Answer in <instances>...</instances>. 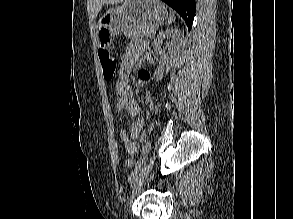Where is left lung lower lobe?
Returning <instances> with one entry per match:
<instances>
[{
    "label": "left lung lower lobe",
    "mask_w": 293,
    "mask_h": 219,
    "mask_svg": "<svg viewBox=\"0 0 293 219\" xmlns=\"http://www.w3.org/2000/svg\"><path fill=\"white\" fill-rule=\"evenodd\" d=\"M170 7L175 9L180 16L185 20L188 29L192 27L194 15H195V0H162Z\"/></svg>",
    "instance_id": "1"
}]
</instances>
